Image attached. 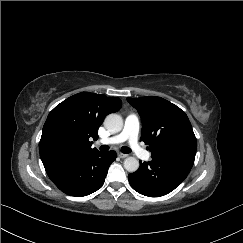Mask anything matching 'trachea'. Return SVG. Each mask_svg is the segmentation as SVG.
Listing matches in <instances>:
<instances>
[{"mask_svg": "<svg viewBox=\"0 0 243 243\" xmlns=\"http://www.w3.org/2000/svg\"><path fill=\"white\" fill-rule=\"evenodd\" d=\"M100 150L104 151V152L108 151L109 146L108 145H102V146H100ZM121 152L124 153V154H127V153L131 152V149L129 147L123 146V147H121Z\"/></svg>", "mask_w": 243, "mask_h": 243, "instance_id": "3493384b", "label": "trachea"}]
</instances>
